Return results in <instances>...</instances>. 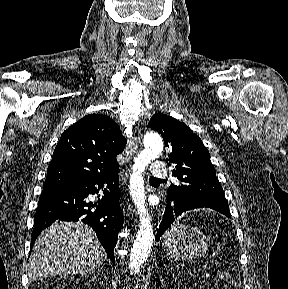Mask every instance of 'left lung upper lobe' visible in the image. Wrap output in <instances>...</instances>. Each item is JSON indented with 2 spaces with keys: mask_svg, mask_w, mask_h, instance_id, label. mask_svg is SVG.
<instances>
[{
  "mask_svg": "<svg viewBox=\"0 0 288 289\" xmlns=\"http://www.w3.org/2000/svg\"><path fill=\"white\" fill-rule=\"evenodd\" d=\"M147 128L162 135L170 152L166 162L168 165H175L172 174L181 182L178 186L170 185L168 199L196 202L230 214L228 201L216 177L209 151L200 137L186 124L165 114H154Z\"/></svg>",
  "mask_w": 288,
  "mask_h": 289,
  "instance_id": "obj_1",
  "label": "left lung upper lobe"
}]
</instances>
